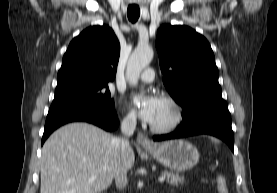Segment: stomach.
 I'll return each instance as SVG.
<instances>
[{"instance_id":"obj_1","label":"stomach","mask_w":277,"mask_h":193,"mask_svg":"<svg viewBox=\"0 0 277 193\" xmlns=\"http://www.w3.org/2000/svg\"><path fill=\"white\" fill-rule=\"evenodd\" d=\"M158 162L173 171L181 172L195 166L199 160L197 148L182 139L170 140L146 148Z\"/></svg>"}]
</instances>
